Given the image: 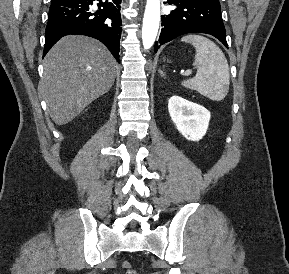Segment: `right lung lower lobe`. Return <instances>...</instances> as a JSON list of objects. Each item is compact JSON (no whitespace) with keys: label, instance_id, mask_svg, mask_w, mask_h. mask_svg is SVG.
Segmentation results:
<instances>
[{"label":"right lung lower lobe","instance_id":"98d812e1","mask_svg":"<svg viewBox=\"0 0 289 274\" xmlns=\"http://www.w3.org/2000/svg\"><path fill=\"white\" fill-rule=\"evenodd\" d=\"M121 0H52L43 56L63 36L81 34L100 40L119 60Z\"/></svg>","mask_w":289,"mask_h":274}]
</instances>
